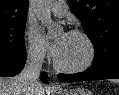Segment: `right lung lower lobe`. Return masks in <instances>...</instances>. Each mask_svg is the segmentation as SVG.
I'll list each match as a JSON object with an SVG mask.
<instances>
[{
  "mask_svg": "<svg viewBox=\"0 0 119 95\" xmlns=\"http://www.w3.org/2000/svg\"><path fill=\"white\" fill-rule=\"evenodd\" d=\"M26 51L20 53H0V77H12L20 73L25 65ZM47 74H42L45 82Z\"/></svg>",
  "mask_w": 119,
  "mask_h": 95,
  "instance_id": "98d812e1",
  "label": "right lung lower lobe"
}]
</instances>
